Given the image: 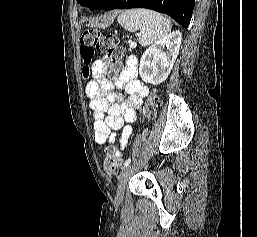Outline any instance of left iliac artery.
<instances>
[{
  "label": "left iliac artery",
  "mask_w": 257,
  "mask_h": 237,
  "mask_svg": "<svg viewBox=\"0 0 257 237\" xmlns=\"http://www.w3.org/2000/svg\"><path fill=\"white\" fill-rule=\"evenodd\" d=\"M131 162V158H128L124 163V168L127 167Z\"/></svg>",
  "instance_id": "obj_1"
}]
</instances>
